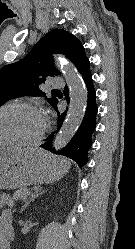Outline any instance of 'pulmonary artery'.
I'll return each instance as SVG.
<instances>
[{"mask_svg": "<svg viewBox=\"0 0 135 249\" xmlns=\"http://www.w3.org/2000/svg\"><path fill=\"white\" fill-rule=\"evenodd\" d=\"M50 85L53 88H60L64 86V82L60 77H54L51 79Z\"/></svg>", "mask_w": 135, "mask_h": 249, "instance_id": "e3ab8cb5", "label": "pulmonary artery"}]
</instances>
